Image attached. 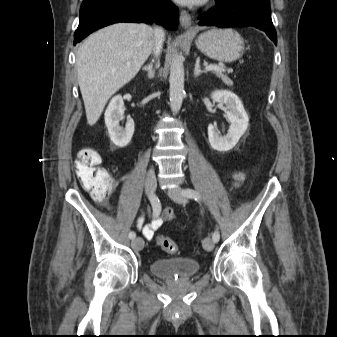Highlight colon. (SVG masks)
Masks as SVG:
<instances>
[{"mask_svg":"<svg viewBox=\"0 0 337 337\" xmlns=\"http://www.w3.org/2000/svg\"><path fill=\"white\" fill-rule=\"evenodd\" d=\"M102 157L97 149L82 148L77 155L75 168L85 190L97 201H105L114 188L110 174L101 167ZM159 246L168 253H177L178 245L171 239L159 236Z\"/></svg>","mask_w":337,"mask_h":337,"instance_id":"colon-1","label":"colon"}]
</instances>
